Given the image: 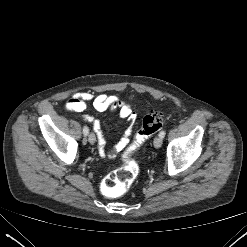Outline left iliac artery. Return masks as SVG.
Listing matches in <instances>:
<instances>
[{
    "label": "left iliac artery",
    "instance_id": "44dca946",
    "mask_svg": "<svg viewBox=\"0 0 247 247\" xmlns=\"http://www.w3.org/2000/svg\"><path fill=\"white\" fill-rule=\"evenodd\" d=\"M165 134H166V131L165 130H162L160 133H159V136L161 138H164L165 137Z\"/></svg>",
    "mask_w": 247,
    "mask_h": 247
}]
</instances>
